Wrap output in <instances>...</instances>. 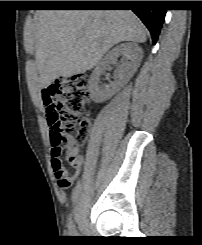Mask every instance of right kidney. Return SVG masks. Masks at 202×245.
Returning <instances> with one entry per match:
<instances>
[{
    "instance_id": "right-kidney-1",
    "label": "right kidney",
    "mask_w": 202,
    "mask_h": 245,
    "mask_svg": "<svg viewBox=\"0 0 202 245\" xmlns=\"http://www.w3.org/2000/svg\"><path fill=\"white\" fill-rule=\"evenodd\" d=\"M119 56H123L124 61L116 69L115 82L111 86H101L100 76L110 64L117 61ZM142 57V49L135 43H122L110 50L91 74L89 91L92 100L103 102L110 99L134 75L140 66Z\"/></svg>"
}]
</instances>
